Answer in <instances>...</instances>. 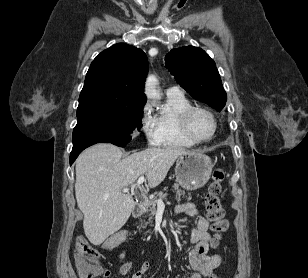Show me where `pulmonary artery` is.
Segmentation results:
<instances>
[{
    "label": "pulmonary artery",
    "instance_id": "1",
    "mask_svg": "<svg viewBox=\"0 0 308 278\" xmlns=\"http://www.w3.org/2000/svg\"><path fill=\"white\" fill-rule=\"evenodd\" d=\"M166 94L167 95H182L183 93L179 87L174 86V87L168 88L166 90Z\"/></svg>",
    "mask_w": 308,
    "mask_h": 278
}]
</instances>
